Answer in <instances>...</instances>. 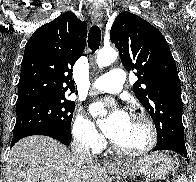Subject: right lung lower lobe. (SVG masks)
I'll list each match as a JSON object with an SVG mask.
<instances>
[{
	"instance_id": "1",
	"label": "right lung lower lobe",
	"mask_w": 196,
	"mask_h": 182,
	"mask_svg": "<svg viewBox=\"0 0 196 182\" xmlns=\"http://www.w3.org/2000/svg\"><path fill=\"white\" fill-rule=\"evenodd\" d=\"M31 135L49 136V137L57 139L58 141L62 142L65 145L70 144L71 137H72L56 129L47 128V127H38V128H32V129H28L20 133L14 134L12 142H11V147L20 139L27 137V136H31Z\"/></svg>"
}]
</instances>
